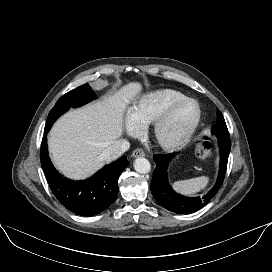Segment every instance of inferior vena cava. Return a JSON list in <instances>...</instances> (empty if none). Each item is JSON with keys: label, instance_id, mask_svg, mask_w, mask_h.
Returning a JSON list of instances; mask_svg holds the SVG:
<instances>
[{"label": "inferior vena cava", "instance_id": "inferior-vena-cava-1", "mask_svg": "<svg viewBox=\"0 0 272 272\" xmlns=\"http://www.w3.org/2000/svg\"><path fill=\"white\" fill-rule=\"evenodd\" d=\"M130 147V143L124 139L114 141L105 151L102 153V158L105 161H112L118 159L124 152Z\"/></svg>", "mask_w": 272, "mask_h": 272}]
</instances>
